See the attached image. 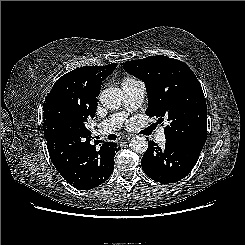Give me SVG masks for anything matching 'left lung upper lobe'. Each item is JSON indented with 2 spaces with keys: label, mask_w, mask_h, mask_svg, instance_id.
<instances>
[{
  "label": "left lung upper lobe",
  "mask_w": 245,
  "mask_h": 245,
  "mask_svg": "<svg viewBox=\"0 0 245 245\" xmlns=\"http://www.w3.org/2000/svg\"><path fill=\"white\" fill-rule=\"evenodd\" d=\"M124 70L143 80L149 105L146 114L164 120L166 139H207V107L198 79L182 61L149 56L122 63Z\"/></svg>",
  "instance_id": "1"
}]
</instances>
